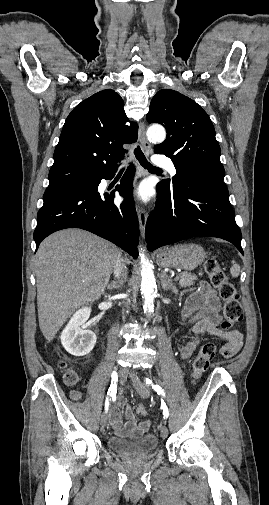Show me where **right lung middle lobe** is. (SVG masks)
Instances as JSON below:
<instances>
[{"label":"right lung middle lobe","instance_id":"1","mask_svg":"<svg viewBox=\"0 0 269 505\" xmlns=\"http://www.w3.org/2000/svg\"><path fill=\"white\" fill-rule=\"evenodd\" d=\"M85 183H86V181H85V182L78 183V184H75V185H73V186H76V185H83V184H85Z\"/></svg>","mask_w":269,"mask_h":505}]
</instances>
